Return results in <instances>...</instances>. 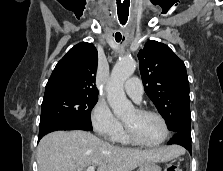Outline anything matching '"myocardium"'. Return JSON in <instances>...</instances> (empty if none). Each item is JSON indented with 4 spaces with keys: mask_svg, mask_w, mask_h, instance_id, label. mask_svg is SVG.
Wrapping results in <instances>:
<instances>
[{
    "mask_svg": "<svg viewBox=\"0 0 223 171\" xmlns=\"http://www.w3.org/2000/svg\"><path fill=\"white\" fill-rule=\"evenodd\" d=\"M135 111L138 114H150V115L156 116L162 123L163 129H164V134H163V137L161 138V140L158 141L157 143L147 144V143L140 141L135 136V134L132 132V130L125 123H123L124 133H125V136L127 137V139L135 145H138L141 147H146V148H155V147H159L160 145H162L167 140V138L169 137V133H170L169 126H168V123H167L165 117L160 112L150 109V108L138 107L135 109Z\"/></svg>",
    "mask_w": 223,
    "mask_h": 171,
    "instance_id": "myocardium-1",
    "label": "myocardium"
}]
</instances>
